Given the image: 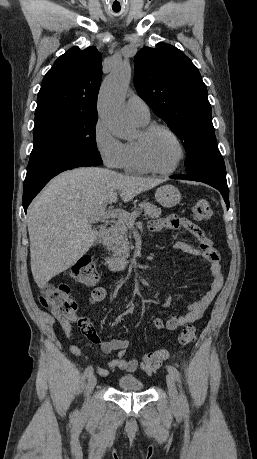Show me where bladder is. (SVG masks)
<instances>
[{"mask_svg":"<svg viewBox=\"0 0 257 459\" xmlns=\"http://www.w3.org/2000/svg\"><path fill=\"white\" fill-rule=\"evenodd\" d=\"M117 388L123 392H143L145 384L131 375H122L117 380Z\"/></svg>","mask_w":257,"mask_h":459,"instance_id":"1","label":"bladder"}]
</instances>
